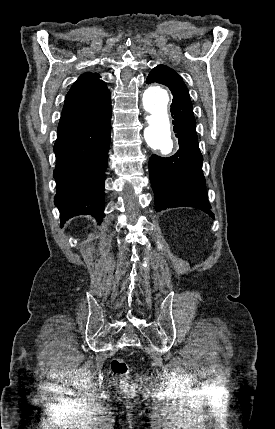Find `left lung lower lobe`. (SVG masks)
<instances>
[{
	"label": "left lung lower lobe",
	"instance_id": "1",
	"mask_svg": "<svg viewBox=\"0 0 275 429\" xmlns=\"http://www.w3.org/2000/svg\"><path fill=\"white\" fill-rule=\"evenodd\" d=\"M161 83L173 94L171 113L179 150L171 157L152 155L149 160L150 181L155 194V210L190 206L214 218L202 172L203 156L198 146L196 121L189 91L182 78L171 68L158 66L146 83Z\"/></svg>",
	"mask_w": 275,
	"mask_h": 429
}]
</instances>
